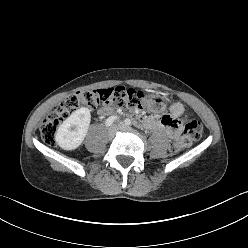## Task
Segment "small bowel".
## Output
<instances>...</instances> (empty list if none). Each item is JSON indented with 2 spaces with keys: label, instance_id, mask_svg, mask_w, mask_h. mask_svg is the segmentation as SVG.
<instances>
[{
  "label": "small bowel",
  "instance_id": "small-bowel-1",
  "mask_svg": "<svg viewBox=\"0 0 248 248\" xmlns=\"http://www.w3.org/2000/svg\"><path fill=\"white\" fill-rule=\"evenodd\" d=\"M110 112V108L103 107L98 110L100 115H106ZM185 108L183 104L177 102L170 108V114L160 117H142L139 115H132L131 119L141 123L145 127H160L163 128L171 139L178 138L183 129V116Z\"/></svg>",
  "mask_w": 248,
  "mask_h": 248
}]
</instances>
